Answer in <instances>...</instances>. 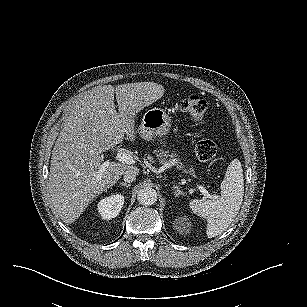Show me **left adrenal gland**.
I'll use <instances>...</instances> for the list:
<instances>
[{"mask_svg":"<svg viewBox=\"0 0 307 307\" xmlns=\"http://www.w3.org/2000/svg\"><path fill=\"white\" fill-rule=\"evenodd\" d=\"M173 189H174V196L175 197H178L180 194H182V195H186V192H184V191H181V189H180V186L179 185H175V184H173Z\"/></svg>","mask_w":307,"mask_h":307,"instance_id":"left-adrenal-gland-1","label":"left adrenal gland"}]
</instances>
